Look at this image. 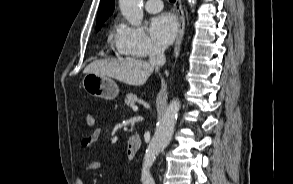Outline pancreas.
Listing matches in <instances>:
<instances>
[{
  "label": "pancreas",
  "instance_id": "1",
  "mask_svg": "<svg viewBox=\"0 0 293 184\" xmlns=\"http://www.w3.org/2000/svg\"><path fill=\"white\" fill-rule=\"evenodd\" d=\"M124 101L127 106L132 107L139 101V99L135 94L129 93L126 95Z\"/></svg>",
  "mask_w": 293,
  "mask_h": 184
}]
</instances>
